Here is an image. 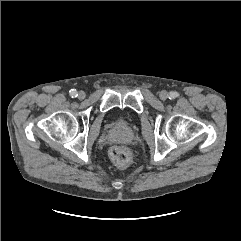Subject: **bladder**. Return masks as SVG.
Wrapping results in <instances>:
<instances>
[{
	"mask_svg": "<svg viewBox=\"0 0 241 241\" xmlns=\"http://www.w3.org/2000/svg\"><path fill=\"white\" fill-rule=\"evenodd\" d=\"M120 123H122V124H123V123H125V121H124V120H122V119H120Z\"/></svg>",
	"mask_w": 241,
	"mask_h": 241,
	"instance_id": "31cf9c89",
	"label": "bladder"
}]
</instances>
